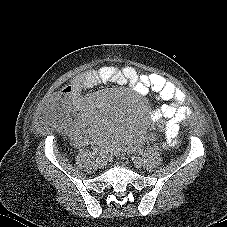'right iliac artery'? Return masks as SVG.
<instances>
[{
	"instance_id": "right-iliac-artery-1",
	"label": "right iliac artery",
	"mask_w": 227,
	"mask_h": 227,
	"mask_svg": "<svg viewBox=\"0 0 227 227\" xmlns=\"http://www.w3.org/2000/svg\"><path fill=\"white\" fill-rule=\"evenodd\" d=\"M94 154L101 156L102 155V152H100V151L97 150V151L94 152Z\"/></svg>"
}]
</instances>
